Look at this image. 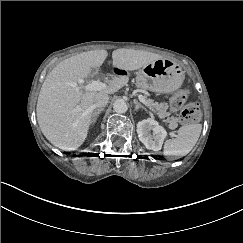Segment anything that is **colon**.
Listing matches in <instances>:
<instances>
[{"mask_svg": "<svg viewBox=\"0 0 243 243\" xmlns=\"http://www.w3.org/2000/svg\"><path fill=\"white\" fill-rule=\"evenodd\" d=\"M188 90L181 89L177 91L169 101V109L172 113H179L180 120L184 124L198 122L201 118L200 107L197 103H186Z\"/></svg>", "mask_w": 243, "mask_h": 243, "instance_id": "5ec220e1", "label": "colon"}]
</instances>
